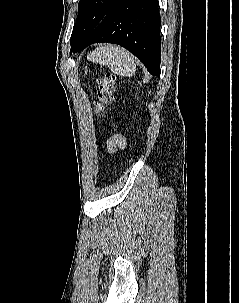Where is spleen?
Masks as SVG:
<instances>
[{
  "mask_svg": "<svg viewBox=\"0 0 239 303\" xmlns=\"http://www.w3.org/2000/svg\"><path fill=\"white\" fill-rule=\"evenodd\" d=\"M88 60L105 65L112 73L131 77L136 70L134 57L120 46H101L87 56Z\"/></svg>",
  "mask_w": 239,
  "mask_h": 303,
  "instance_id": "obj_1",
  "label": "spleen"
}]
</instances>
